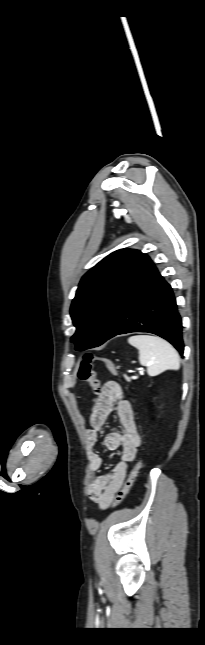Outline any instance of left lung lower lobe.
I'll return each mask as SVG.
<instances>
[{
  "label": "left lung lower lobe",
  "mask_w": 205,
  "mask_h": 645,
  "mask_svg": "<svg viewBox=\"0 0 205 645\" xmlns=\"http://www.w3.org/2000/svg\"><path fill=\"white\" fill-rule=\"evenodd\" d=\"M104 342L131 332H148L169 341L183 356L182 321L171 286L143 253L129 273L113 311Z\"/></svg>",
  "instance_id": "obj_1"
}]
</instances>
